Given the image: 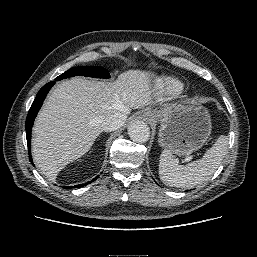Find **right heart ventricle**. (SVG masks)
I'll return each mask as SVG.
<instances>
[{"instance_id": "obj_1", "label": "right heart ventricle", "mask_w": 257, "mask_h": 257, "mask_svg": "<svg viewBox=\"0 0 257 257\" xmlns=\"http://www.w3.org/2000/svg\"><path fill=\"white\" fill-rule=\"evenodd\" d=\"M159 86L165 95L170 96L178 95L184 90L183 84L173 77H162L159 80Z\"/></svg>"}]
</instances>
